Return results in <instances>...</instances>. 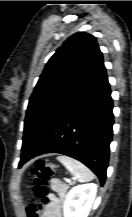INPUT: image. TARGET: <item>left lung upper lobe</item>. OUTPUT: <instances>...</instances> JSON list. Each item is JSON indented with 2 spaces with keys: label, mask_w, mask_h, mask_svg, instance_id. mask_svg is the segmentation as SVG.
<instances>
[{
  "label": "left lung upper lobe",
  "mask_w": 132,
  "mask_h": 217,
  "mask_svg": "<svg viewBox=\"0 0 132 217\" xmlns=\"http://www.w3.org/2000/svg\"><path fill=\"white\" fill-rule=\"evenodd\" d=\"M102 65L96 38L85 32L73 34L56 50L30 97L22 151L30 153L39 145Z\"/></svg>",
  "instance_id": "left-lung-upper-lobe-1"
}]
</instances>
